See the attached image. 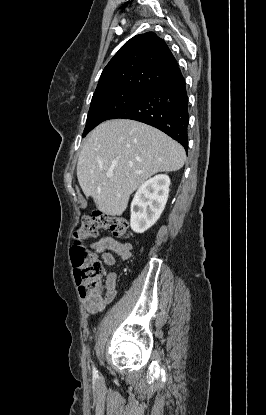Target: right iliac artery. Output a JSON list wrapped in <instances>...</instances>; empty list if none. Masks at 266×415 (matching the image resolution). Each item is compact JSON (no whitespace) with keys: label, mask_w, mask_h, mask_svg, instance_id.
Wrapping results in <instances>:
<instances>
[{"label":"right iliac artery","mask_w":266,"mask_h":415,"mask_svg":"<svg viewBox=\"0 0 266 415\" xmlns=\"http://www.w3.org/2000/svg\"><path fill=\"white\" fill-rule=\"evenodd\" d=\"M93 375L96 376L97 375V370L95 369V367H93Z\"/></svg>","instance_id":"1"}]
</instances>
